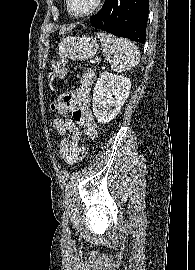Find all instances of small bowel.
I'll use <instances>...</instances> for the list:
<instances>
[{"label":"small bowel","instance_id":"obj_1","mask_svg":"<svg viewBox=\"0 0 195 270\" xmlns=\"http://www.w3.org/2000/svg\"><path fill=\"white\" fill-rule=\"evenodd\" d=\"M94 82L92 72L82 75L80 86L73 90L74 101L59 114L71 113V118H54L53 128L60 136L59 155L67 164H73L78 160L80 152V139L82 133L94 139L97 136V124L89 109L88 98ZM67 132L70 135H67Z\"/></svg>","mask_w":195,"mask_h":270}]
</instances>
